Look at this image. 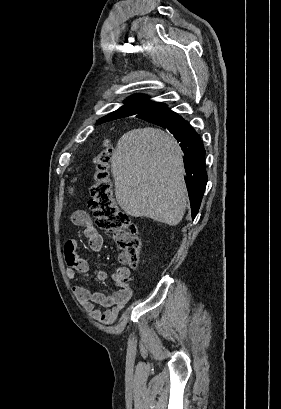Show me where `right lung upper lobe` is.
<instances>
[{
  "instance_id": "cb5924a9",
  "label": "right lung upper lobe",
  "mask_w": 281,
  "mask_h": 409,
  "mask_svg": "<svg viewBox=\"0 0 281 409\" xmlns=\"http://www.w3.org/2000/svg\"><path fill=\"white\" fill-rule=\"evenodd\" d=\"M167 107L163 103L152 102L147 99L146 95H133L126 100V104L119 108L118 110L110 113L107 116L102 117L98 120L97 124L104 123L107 121L115 120L118 118H123L135 114H140L152 110H157Z\"/></svg>"
}]
</instances>
